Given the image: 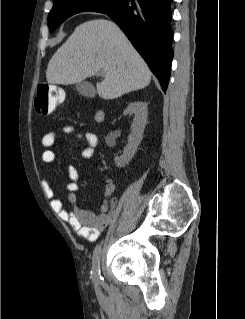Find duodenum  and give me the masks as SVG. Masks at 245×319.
<instances>
[{
    "label": "duodenum",
    "mask_w": 245,
    "mask_h": 319,
    "mask_svg": "<svg viewBox=\"0 0 245 319\" xmlns=\"http://www.w3.org/2000/svg\"><path fill=\"white\" fill-rule=\"evenodd\" d=\"M96 120L98 122H101L104 120V111L103 110H99V112L96 115Z\"/></svg>",
    "instance_id": "obj_1"
}]
</instances>
